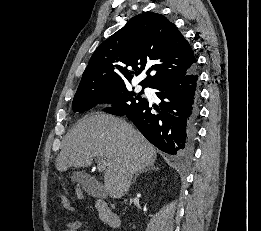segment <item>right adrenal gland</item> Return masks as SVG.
Returning a JSON list of instances; mask_svg holds the SVG:
<instances>
[{
    "instance_id": "right-adrenal-gland-1",
    "label": "right adrenal gland",
    "mask_w": 261,
    "mask_h": 231,
    "mask_svg": "<svg viewBox=\"0 0 261 231\" xmlns=\"http://www.w3.org/2000/svg\"><path fill=\"white\" fill-rule=\"evenodd\" d=\"M149 170L157 171V170H159V168H158V167L155 168L154 165H151V166H149L148 168H145V169H143V170H140L139 172H137V173L135 174V176H134V178H133V183L136 181V178H137L141 173L147 172V171H149Z\"/></svg>"
}]
</instances>
